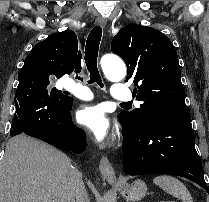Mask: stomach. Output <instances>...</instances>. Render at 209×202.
<instances>
[{
	"label": "stomach",
	"instance_id": "0dacf381",
	"mask_svg": "<svg viewBox=\"0 0 209 202\" xmlns=\"http://www.w3.org/2000/svg\"><path fill=\"white\" fill-rule=\"evenodd\" d=\"M117 190L128 201H138L147 193V186L142 180H135L132 184H122L117 186Z\"/></svg>",
	"mask_w": 209,
	"mask_h": 202
}]
</instances>
